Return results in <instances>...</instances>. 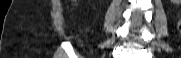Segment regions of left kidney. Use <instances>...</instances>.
<instances>
[{
  "label": "left kidney",
  "instance_id": "left-kidney-1",
  "mask_svg": "<svg viewBox=\"0 0 181 58\" xmlns=\"http://www.w3.org/2000/svg\"><path fill=\"white\" fill-rule=\"evenodd\" d=\"M171 2L176 5L181 4V0H171Z\"/></svg>",
  "mask_w": 181,
  "mask_h": 58
}]
</instances>
